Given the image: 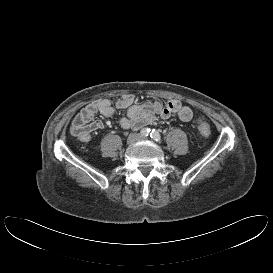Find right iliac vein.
<instances>
[{
    "label": "right iliac vein",
    "instance_id": "1",
    "mask_svg": "<svg viewBox=\"0 0 273 273\" xmlns=\"http://www.w3.org/2000/svg\"><path fill=\"white\" fill-rule=\"evenodd\" d=\"M136 140H137V136L131 135V136L127 139V143H128V144H133Z\"/></svg>",
    "mask_w": 273,
    "mask_h": 273
}]
</instances>
